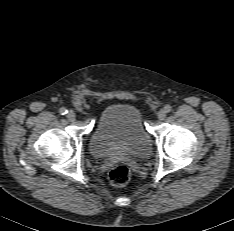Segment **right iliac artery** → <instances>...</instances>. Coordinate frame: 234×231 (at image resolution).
Masks as SVG:
<instances>
[{
    "instance_id": "1",
    "label": "right iliac artery",
    "mask_w": 234,
    "mask_h": 231,
    "mask_svg": "<svg viewBox=\"0 0 234 231\" xmlns=\"http://www.w3.org/2000/svg\"><path fill=\"white\" fill-rule=\"evenodd\" d=\"M59 112H60V114H62V115H65V114L68 113L67 109L64 108V107L60 108V109H59Z\"/></svg>"
}]
</instances>
